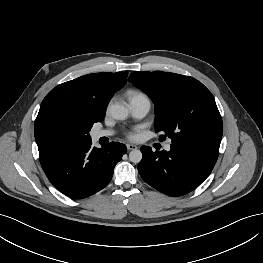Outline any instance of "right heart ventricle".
<instances>
[{
    "mask_svg": "<svg viewBox=\"0 0 263 263\" xmlns=\"http://www.w3.org/2000/svg\"><path fill=\"white\" fill-rule=\"evenodd\" d=\"M128 94H129L130 101L135 100V99H140V98H147V96L143 92L136 91V90H131L129 91Z\"/></svg>",
    "mask_w": 263,
    "mask_h": 263,
    "instance_id": "1",
    "label": "right heart ventricle"
}]
</instances>
